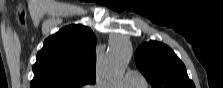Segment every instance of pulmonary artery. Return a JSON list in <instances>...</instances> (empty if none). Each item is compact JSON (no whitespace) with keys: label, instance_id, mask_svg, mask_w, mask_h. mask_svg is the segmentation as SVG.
I'll return each mask as SVG.
<instances>
[{"label":"pulmonary artery","instance_id":"obj_1","mask_svg":"<svg viewBox=\"0 0 223 88\" xmlns=\"http://www.w3.org/2000/svg\"><path fill=\"white\" fill-rule=\"evenodd\" d=\"M120 85L127 88H139L146 85L144 76L138 71H129L120 82Z\"/></svg>","mask_w":223,"mask_h":88}]
</instances>
